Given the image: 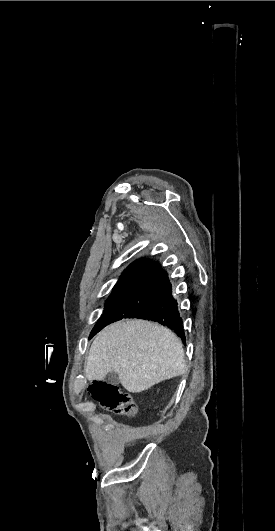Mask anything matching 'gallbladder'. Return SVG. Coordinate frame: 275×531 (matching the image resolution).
<instances>
[{"label":"gallbladder","mask_w":275,"mask_h":531,"mask_svg":"<svg viewBox=\"0 0 275 531\" xmlns=\"http://www.w3.org/2000/svg\"><path fill=\"white\" fill-rule=\"evenodd\" d=\"M105 381H106V383H108V385H119V383H120V379H119L117 373H114V371H112V373H108V375H106Z\"/></svg>","instance_id":"1"}]
</instances>
